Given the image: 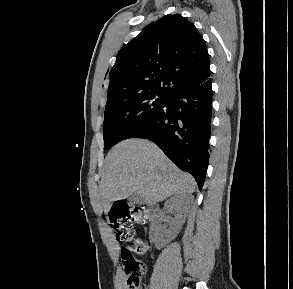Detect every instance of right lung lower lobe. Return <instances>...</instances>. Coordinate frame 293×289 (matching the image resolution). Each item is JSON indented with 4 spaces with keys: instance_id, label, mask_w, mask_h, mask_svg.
<instances>
[{
    "instance_id": "right-lung-lower-lobe-1",
    "label": "right lung lower lobe",
    "mask_w": 293,
    "mask_h": 289,
    "mask_svg": "<svg viewBox=\"0 0 293 289\" xmlns=\"http://www.w3.org/2000/svg\"><path fill=\"white\" fill-rule=\"evenodd\" d=\"M211 116L212 88L208 79L173 93L128 138L156 143L175 165L193 175L201 189L209 163Z\"/></svg>"
}]
</instances>
